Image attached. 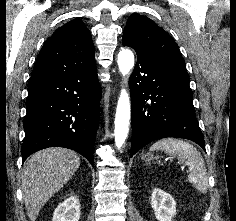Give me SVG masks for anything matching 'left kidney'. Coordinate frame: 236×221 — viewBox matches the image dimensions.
Wrapping results in <instances>:
<instances>
[{
	"mask_svg": "<svg viewBox=\"0 0 236 221\" xmlns=\"http://www.w3.org/2000/svg\"><path fill=\"white\" fill-rule=\"evenodd\" d=\"M151 206L158 221H173L176 215V203L170 194L155 188L151 196Z\"/></svg>",
	"mask_w": 236,
	"mask_h": 221,
	"instance_id": "left-kidney-1",
	"label": "left kidney"
}]
</instances>
